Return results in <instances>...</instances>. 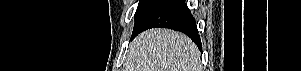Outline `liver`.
Listing matches in <instances>:
<instances>
[{
  "mask_svg": "<svg viewBox=\"0 0 301 71\" xmlns=\"http://www.w3.org/2000/svg\"><path fill=\"white\" fill-rule=\"evenodd\" d=\"M126 71H201L200 52L184 34L155 28L130 44Z\"/></svg>",
  "mask_w": 301,
  "mask_h": 71,
  "instance_id": "1",
  "label": "liver"
}]
</instances>
